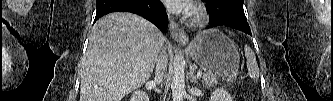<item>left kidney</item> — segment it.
Segmentation results:
<instances>
[{"label":"left kidney","mask_w":333,"mask_h":101,"mask_svg":"<svg viewBox=\"0 0 333 101\" xmlns=\"http://www.w3.org/2000/svg\"><path fill=\"white\" fill-rule=\"evenodd\" d=\"M210 101H232V97L227 91L223 89H216L212 93Z\"/></svg>","instance_id":"left-kidney-1"}]
</instances>
